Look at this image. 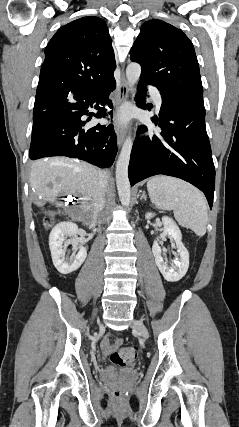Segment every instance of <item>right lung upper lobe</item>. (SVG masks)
<instances>
[{"label":"right lung upper lobe","mask_w":239,"mask_h":427,"mask_svg":"<svg viewBox=\"0 0 239 427\" xmlns=\"http://www.w3.org/2000/svg\"><path fill=\"white\" fill-rule=\"evenodd\" d=\"M103 19L83 17L61 27L45 49L35 100L92 89L113 78L116 68Z\"/></svg>","instance_id":"obj_1"}]
</instances>
